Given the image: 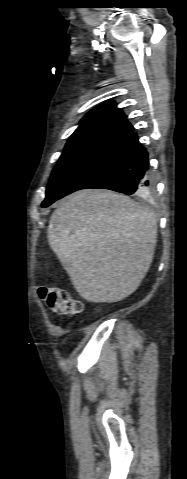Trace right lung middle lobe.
<instances>
[{"label":"right lung middle lobe","instance_id":"1","mask_svg":"<svg viewBox=\"0 0 187 479\" xmlns=\"http://www.w3.org/2000/svg\"><path fill=\"white\" fill-rule=\"evenodd\" d=\"M126 136L125 132L106 127L77 129L52 172L42 207L51 205L76 176Z\"/></svg>","mask_w":187,"mask_h":479}]
</instances>
